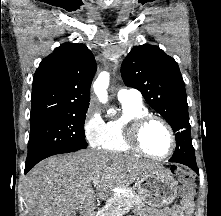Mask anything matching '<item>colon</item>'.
<instances>
[{"label": "colon", "mask_w": 221, "mask_h": 216, "mask_svg": "<svg viewBox=\"0 0 221 216\" xmlns=\"http://www.w3.org/2000/svg\"><path fill=\"white\" fill-rule=\"evenodd\" d=\"M174 172L178 176L182 187H181V192L183 194V199L182 201L189 203L191 202V194H192V189H191V178L189 176V173L187 170L184 168H176L174 169Z\"/></svg>", "instance_id": "5ec220e1"}]
</instances>
